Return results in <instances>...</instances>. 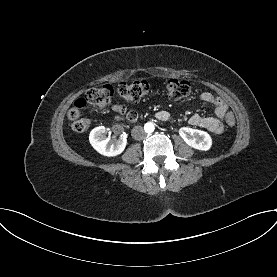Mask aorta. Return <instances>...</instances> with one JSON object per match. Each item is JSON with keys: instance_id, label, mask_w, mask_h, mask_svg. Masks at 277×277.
<instances>
[{"instance_id": "obj_1", "label": "aorta", "mask_w": 277, "mask_h": 277, "mask_svg": "<svg viewBox=\"0 0 277 277\" xmlns=\"http://www.w3.org/2000/svg\"><path fill=\"white\" fill-rule=\"evenodd\" d=\"M144 129H145L146 133H152L155 129V126L153 123L148 122L145 124Z\"/></svg>"}]
</instances>
